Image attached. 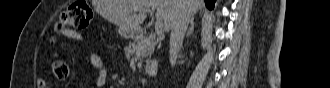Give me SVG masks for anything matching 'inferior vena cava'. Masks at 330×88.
<instances>
[{
    "label": "inferior vena cava",
    "instance_id": "1",
    "mask_svg": "<svg viewBox=\"0 0 330 88\" xmlns=\"http://www.w3.org/2000/svg\"><path fill=\"white\" fill-rule=\"evenodd\" d=\"M192 15V10L189 7L181 9L177 18L175 19L170 34V60L171 64L175 65L179 53L182 48L183 39Z\"/></svg>",
    "mask_w": 330,
    "mask_h": 88
}]
</instances>
